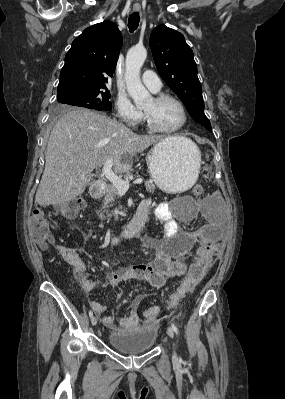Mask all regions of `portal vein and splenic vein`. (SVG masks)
Returning <instances> with one entry per match:
<instances>
[{"instance_id":"1","label":"portal vein and splenic vein","mask_w":285,"mask_h":399,"mask_svg":"<svg viewBox=\"0 0 285 399\" xmlns=\"http://www.w3.org/2000/svg\"><path fill=\"white\" fill-rule=\"evenodd\" d=\"M112 166H113V160L110 159L106 161V163L103 166L102 173L105 176V178L114 185L119 193H126V191L129 189L130 184L120 177H118L113 171H112ZM142 179H136L133 181V184H141Z\"/></svg>"}]
</instances>
